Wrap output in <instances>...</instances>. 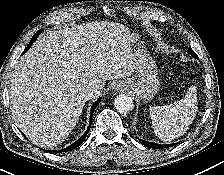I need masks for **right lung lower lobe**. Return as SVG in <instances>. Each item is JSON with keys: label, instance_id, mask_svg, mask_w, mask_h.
<instances>
[{"label": "right lung lower lobe", "instance_id": "obj_1", "mask_svg": "<svg viewBox=\"0 0 224 175\" xmlns=\"http://www.w3.org/2000/svg\"><path fill=\"white\" fill-rule=\"evenodd\" d=\"M38 35L36 34L30 41L28 47L25 49L24 52H26L31 46L32 44L34 43V41L37 39ZM100 103V99L97 100L93 105H92V108H91V112H90V122H89V128L87 129V131L83 134V136H81V138H79V140H77L75 143H73L72 145L68 146L67 148L65 149H62V150H59L57 151L58 153L59 152H66V151H71L75 148H77L79 145L82 144V142L84 141V139L86 138L87 134H88V131L91 127V124H92V115L96 109V107L98 106V104ZM51 152H54V151H51Z\"/></svg>", "mask_w": 224, "mask_h": 175}]
</instances>
